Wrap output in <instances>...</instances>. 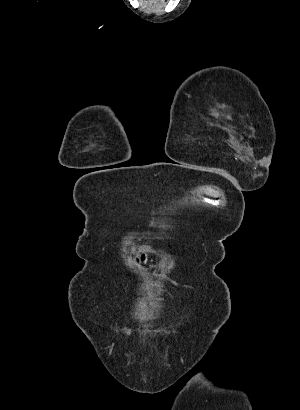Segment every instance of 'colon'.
<instances>
[{
	"mask_svg": "<svg viewBox=\"0 0 300 410\" xmlns=\"http://www.w3.org/2000/svg\"><path fill=\"white\" fill-rule=\"evenodd\" d=\"M138 258H139V260H141V261H144V260H145L144 254H141V253L138 254Z\"/></svg>",
	"mask_w": 300,
	"mask_h": 410,
	"instance_id": "5ec220e1",
	"label": "colon"
}]
</instances>
